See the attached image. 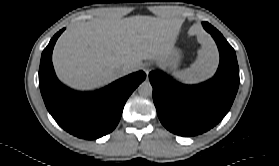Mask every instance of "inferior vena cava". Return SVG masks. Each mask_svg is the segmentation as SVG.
I'll return each mask as SVG.
<instances>
[{
	"label": "inferior vena cava",
	"instance_id": "obj_1",
	"mask_svg": "<svg viewBox=\"0 0 279 166\" xmlns=\"http://www.w3.org/2000/svg\"><path fill=\"white\" fill-rule=\"evenodd\" d=\"M134 70H135L134 66L127 64V65H123L121 67L120 72H121L122 75H126V74H128V73H130V72H132Z\"/></svg>",
	"mask_w": 279,
	"mask_h": 166
}]
</instances>
